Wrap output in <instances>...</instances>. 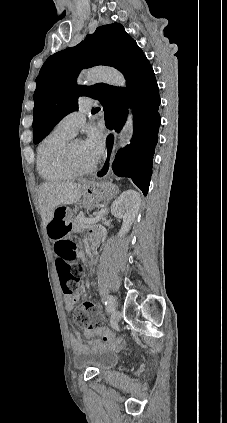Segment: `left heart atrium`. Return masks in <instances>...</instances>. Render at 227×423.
Segmentation results:
<instances>
[{"label": "left heart atrium", "instance_id": "left-heart-atrium-1", "mask_svg": "<svg viewBox=\"0 0 227 423\" xmlns=\"http://www.w3.org/2000/svg\"><path fill=\"white\" fill-rule=\"evenodd\" d=\"M83 144L89 163L95 165L104 150L105 133L101 129L92 128Z\"/></svg>", "mask_w": 227, "mask_h": 423}]
</instances>
